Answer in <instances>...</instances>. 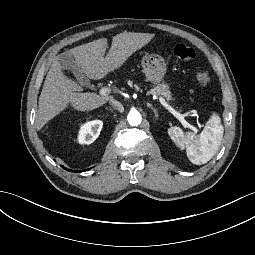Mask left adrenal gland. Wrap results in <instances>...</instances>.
Listing matches in <instances>:
<instances>
[{
    "instance_id": "left-adrenal-gland-1",
    "label": "left adrenal gland",
    "mask_w": 255,
    "mask_h": 255,
    "mask_svg": "<svg viewBox=\"0 0 255 255\" xmlns=\"http://www.w3.org/2000/svg\"><path fill=\"white\" fill-rule=\"evenodd\" d=\"M149 107H151V109L154 111L155 113V117L158 118L159 114L156 108H154L152 105L149 104Z\"/></svg>"
}]
</instances>
